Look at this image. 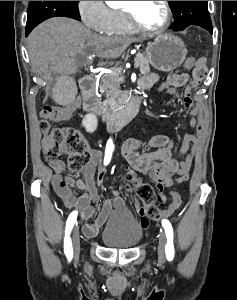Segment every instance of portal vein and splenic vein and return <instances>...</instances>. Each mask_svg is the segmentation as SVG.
Returning a JSON list of instances; mask_svg holds the SVG:
<instances>
[{
    "label": "portal vein and splenic vein",
    "mask_w": 237,
    "mask_h": 300,
    "mask_svg": "<svg viewBox=\"0 0 237 300\" xmlns=\"http://www.w3.org/2000/svg\"><path fill=\"white\" fill-rule=\"evenodd\" d=\"M138 64H139V63H138L137 61L134 62V64L132 65L134 70L138 69ZM133 74H135V73H133ZM135 76H136V75H135ZM120 80L123 81V77H120Z\"/></svg>",
    "instance_id": "portal-vein-and-splenic-vein-1"
}]
</instances>
